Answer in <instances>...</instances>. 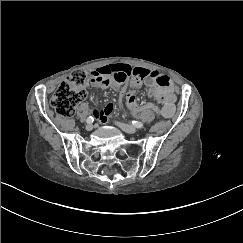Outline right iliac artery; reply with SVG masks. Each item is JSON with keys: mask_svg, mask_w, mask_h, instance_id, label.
<instances>
[{"mask_svg": "<svg viewBox=\"0 0 243 243\" xmlns=\"http://www.w3.org/2000/svg\"><path fill=\"white\" fill-rule=\"evenodd\" d=\"M94 121V118L92 116H89L87 119H86V122L87 123H92Z\"/></svg>", "mask_w": 243, "mask_h": 243, "instance_id": "obj_1", "label": "right iliac artery"}]
</instances>
